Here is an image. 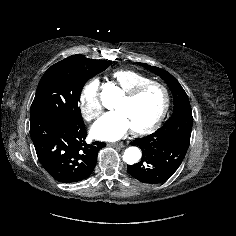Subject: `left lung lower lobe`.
<instances>
[{"label": "left lung lower lobe", "instance_id": "0a47b994", "mask_svg": "<svg viewBox=\"0 0 236 236\" xmlns=\"http://www.w3.org/2000/svg\"><path fill=\"white\" fill-rule=\"evenodd\" d=\"M193 116L191 107H180L153 134L131 142L142 150L139 163L128 165L135 179L149 184L166 181L181 165L190 144Z\"/></svg>", "mask_w": 236, "mask_h": 236}]
</instances>
